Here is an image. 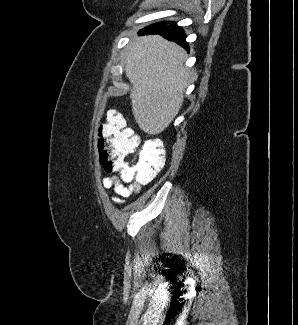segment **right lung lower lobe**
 I'll return each mask as SVG.
<instances>
[{"label":"right lung lower lobe","instance_id":"obj_1","mask_svg":"<svg viewBox=\"0 0 298 325\" xmlns=\"http://www.w3.org/2000/svg\"><path fill=\"white\" fill-rule=\"evenodd\" d=\"M141 34H160L164 38L174 41L182 47L188 49V44L185 42L186 35L182 28L178 27L174 22H160L143 28Z\"/></svg>","mask_w":298,"mask_h":325}]
</instances>
